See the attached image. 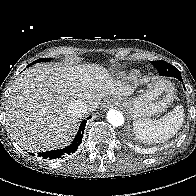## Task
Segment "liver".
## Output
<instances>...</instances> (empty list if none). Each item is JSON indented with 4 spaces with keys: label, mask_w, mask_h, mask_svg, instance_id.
<instances>
[{
    "label": "liver",
    "mask_w": 196,
    "mask_h": 196,
    "mask_svg": "<svg viewBox=\"0 0 196 196\" xmlns=\"http://www.w3.org/2000/svg\"><path fill=\"white\" fill-rule=\"evenodd\" d=\"M134 87L114 78L97 64L77 66L37 65L14 82L6 104V128L24 149L45 151L69 145L79 117L69 112L76 100L88 113L108 96H128Z\"/></svg>",
    "instance_id": "obj_1"
}]
</instances>
